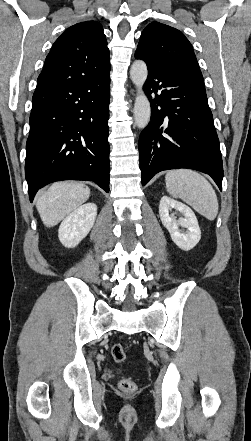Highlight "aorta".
<instances>
[{
    "mask_svg": "<svg viewBox=\"0 0 251 441\" xmlns=\"http://www.w3.org/2000/svg\"><path fill=\"white\" fill-rule=\"evenodd\" d=\"M147 75V65L144 61L137 60L132 64L130 77L137 89L133 112L135 124L139 129H143L148 125L151 115L150 102L142 90Z\"/></svg>",
    "mask_w": 251,
    "mask_h": 441,
    "instance_id": "obj_1",
    "label": "aorta"
}]
</instances>
